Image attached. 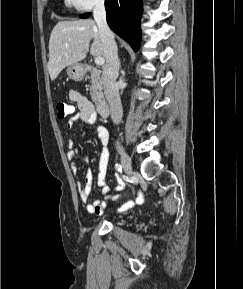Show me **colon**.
Here are the masks:
<instances>
[{"instance_id":"obj_1","label":"colon","mask_w":243,"mask_h":289,"mask_svg":"<svg viewBox=\"0 0 243 289\" xmlns=\"http://www.w3.org/2000/svg\"><path fill=\"white\" fill-rule=\"evenodd\" d=\"M57 115L59 118L64 119L71 115L74 111L73 106L66 102H59L56 106Z\"/></svg>"}]
</instances>
